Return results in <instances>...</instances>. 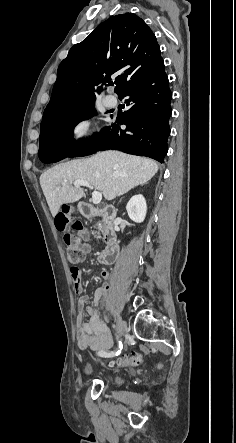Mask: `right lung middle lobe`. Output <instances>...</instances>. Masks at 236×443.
Returning <instances> with one entry per match:
<instances>
[{
	"label": "right lung middle lobe",
	"mask_w": 236,
	"mask_h": 443,
	"mask_svg": "<svg viewBox=\"0 0 236 443\" xmlns=\"http://www.w3.org/2000/svg\"><path fill=\"white\" fill-rule=\"evenodd\" d=\"M96 114L94 102L83 107L51 116L40 125V148L53 145H72L74 127Z\"/></svg>",
	"instance_id": "1"
}]
</instances>
